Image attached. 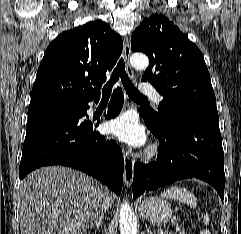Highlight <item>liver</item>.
Wrapping results in <instances>:
<instances>
[{"label": "liver", "mask_w": 241, "mask_h": 234, "mask_svg": "<svg viewBox=\"0 0 241 234\" xmlns=\"http://www.w3.org/2000/svg\"><path fill=\"white\" fill-rule=\"evenodd\" d=\"M108 194L101 183L62 166L43 167L21 182V234H83Z\"/></svg>", "instance_id": "6515ba94"}]
</instances>
